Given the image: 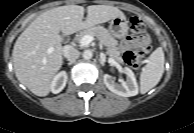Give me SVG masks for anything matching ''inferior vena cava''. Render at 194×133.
<instances>
[{
  "instance_id": "602c4592",
  "label": "inferior vena cava",
  "mask_w": 194,
  "mask_h": 133,
  "mask_svg": "<svg viewBox=\"0 0 194 133\" xmlns=\"http://www.w3.org/2000/svg\"><path fill=\"white\" fill-rule=\"evenodd\" d=\"M63 55L67 59L75 60V59L79 58L80 52L76 48H74L73 46L67 45L63 49Z\"/></svg>"
}]
</instances>
